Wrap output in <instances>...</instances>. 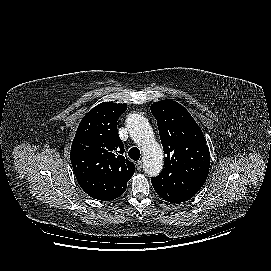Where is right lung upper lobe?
Returning <instances> with one entry per match:
<instances>
[{
	"instance_id": "1",
	"label": "right lung upper lobe",
	"mask_w": 271,
	"mask_h": 271,
	"mask_svg": "<svg viewBox=\"0 0 271 271\" xmlns=\"http://www.w3.org/2000/svg\"><path fill=\"white\" fill-rule=\"evenodd\" d=\"M126 109L127 104L103 102L83 117L70 152L76 177H97L127 185L135 165L123 156L124 145L116 124Z\"/></svg>"
}]
</instances>
